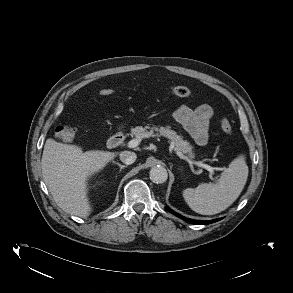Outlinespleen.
I'll return each instance as SVG.
<instances>
[{
  "label": "spleen",
  "mask_w": 293,
  "mask_h": 293,
  "mask_svg": "<svg viewBox=\"0 0 293 293\" xmlns=\"http://www.w3.org/2000/svg\"><path fill=\"white\" fill-rule=\"evenodd\" d=\"M248 172L245 156L240 155L222 172L217 183H202L196 188H187L183 191V197L196 213H220L239 197L246 184Z\"/></svg>",
  "instance_id": "1"
}]
</instances>
